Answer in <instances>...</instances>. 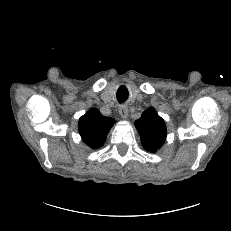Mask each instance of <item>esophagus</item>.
I'll return each instance as SVG.
<instances>
[{"mask_svg":"<svg viewBox=\"0 0 231 231\" xmlns=\"http://www.w3.org/2000/svg\"><path fill=\"white\" fill-rule=\"evenodd\" d=\"M119 114L123 119H126L128 116V109L126 106H121L119 108Z\"/></svg>","mask_w":231,"mask_h":231,"instance_id":"obj_1","label":"esophagus"}]
</instances>
